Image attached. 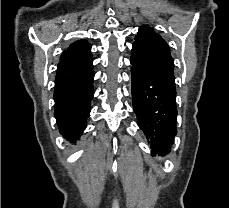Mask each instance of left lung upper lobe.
<instances>
[{
    "label": "left lung upper lobe",
    "mask_w": 229,
    "mask_h": 208,
    "mask_svg": "<svg viewBox=\"0 0 229 208\" xmlns=\"http://www.w3.org/2000/svg\"><path fill=\"white\" fill-rule=\"evenodd\" d=\"M131 60L159 84L175 89L174 61L168 44L150 26L143 25L135 36Z\"/></svg>",
    "instance_id": "left-lung-upper-lobe-1"
}]
</instances>
